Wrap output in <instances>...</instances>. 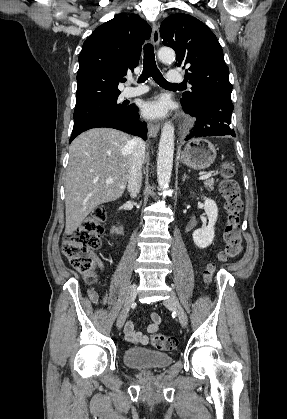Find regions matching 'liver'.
<instances>
[{"label":"liver","instance_id":"liver-1","mask_svg":"<svg viewBox=\"0 0 287 419\" xmlns=\"http://www.w3.org/2000/svg\"><path fill=\"white\" fill-rule=\"evenodd\" d=\"M132 138L110 128L79 135L69 147L65 234L72 235L100 204L120 198L128 182ZM111 178L112 182L107 180Z\"/></svg>","mask_w":287,"mask_h":419}]
</instances>
